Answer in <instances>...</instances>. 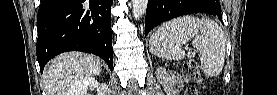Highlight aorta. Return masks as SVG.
I'll list each match as a JSON object with an SVG mask.
<instances>
[{
  "mask_svg": "<svg viewBox=\"0 0 277 95\" xmlns=\"http://www.w3.org/2000/svg\"><path fill=\"white\" fill-rule=\"evenodd\" d=\"M148 0H132V13L136 20L143 17L147 9Z\"/></svg>",
  "mask_w": 277,
  "mask_h": 95,
  "instance_id": "1",
  "label": "aorta"
}]
</instances>
